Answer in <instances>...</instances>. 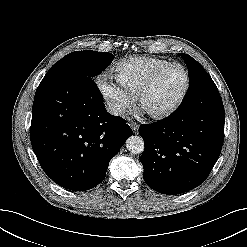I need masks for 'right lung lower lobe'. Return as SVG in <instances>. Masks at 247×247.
<instances>
[{"instance_id": "right-lung-lower-lobe-1", "label": "right lung lower lobe", "mask_w": 247, "mask_h": 247, "mask_svg": "<svg viewBox=\"0 0 247 247\" xmlns=\"http://www.w3.org/2000/svg\"><path fill=\"white\" fill-rule=\"evenodd\" d=\"M89 77L61 75L41 81L34 98L31 144L44 172L73 191L105 178L110 160L133 132L109 114Z\"/></svg>"}]
</instances>
